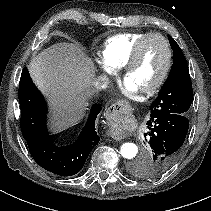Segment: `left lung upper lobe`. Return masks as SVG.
I'll return each instance as SVG.
<instances>
[{
	"mask_svg": "<svg viewBox=\"0 0 211 211\" xmlns=\"http://www.w3.org/2000/svg\"><path fill=\"white\" fill-rule=\"evenodd\" d=\"M173 50V65L158 97L150 107L151 116L172 113L188 116L193 99L192 83L184 54L176 41L168 36ZM143 174L148 176L146 167Z\"/></svg>",
	"mask_w": 211,
	"mask_h": 211,
	"instance_id": "left-lung-upper-lobe-1",
	"label": "left lung upper lobe"
}]
</instances>
